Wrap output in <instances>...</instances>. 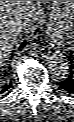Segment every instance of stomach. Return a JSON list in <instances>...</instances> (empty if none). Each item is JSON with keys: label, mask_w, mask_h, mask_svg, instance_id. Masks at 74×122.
<instances>
[{"label": "stomach", "mask_w": 74, "mask_h": 122, "mask_svg": "<svg viewBox=\"0 0 74 122\" xmlns=\"http://www.w3.org/2000/svg\"><path fill=\"white\" fill-rule=\"evenodd\" d=\"M53 18L56 21L71 20L74 16V1H54Z\"/></svg>", "instance_id": "stomach-1"}]
</instances>
